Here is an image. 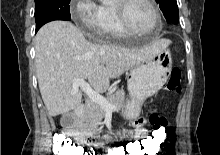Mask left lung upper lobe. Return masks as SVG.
Here are the masks:
<instances>
[{"instance_id": "left-lung-upper-lobe-1", "label": "left lung upper lobe", "mask_w": 220, "mask_h": 155, "mask_svg": "<svg viewBox=\"0 0 220 155\" xmlns=\"http://www.w3.org/2000/svg\"><path fill=\"white\" fill-rule=\"evenodd\" d=\"M168 23L179 19V11L176 0H156Z\"/></svg>"}]
</instances>
